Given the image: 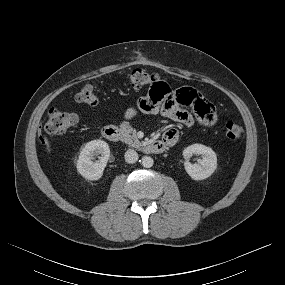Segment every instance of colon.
I'll list each match as a JSON object with an SVG mask.
<instances>
[{"label":"colon","instance_id":"obj_1","mask_svg":"<svg viewBox=\"0 0 285 285\" xmlns=\"http://www.w3.org/2000/svg\"><path fill=\"white\" fill-rule=\"evenodd\" d=\"M155 73L147 72L141 69L132 71L128 76L129 86L133 89L148 87L149 82L158 78ZM160 78V77H159ZM76 102L88 106H94L98 102L96 91L91 84L84 85L75 96ZM78 124L76 115L51 108L47 114L45 123V131L50 135H62L70 131ZM225 135L228 139L237 140L243 135L244 128L242 124L229 121L224 127Z\"/></svg>","mask_w":285,"mask_h":285}]
</instances>
